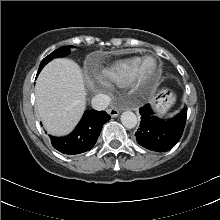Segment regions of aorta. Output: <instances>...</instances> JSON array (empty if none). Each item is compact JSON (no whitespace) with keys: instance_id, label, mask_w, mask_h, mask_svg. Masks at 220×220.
I'll return each instance as SVG.
<instances>
[{"instance_id":"762f6f07","label":"aorta","mask_w":220,"mask_h":220,"mask_svg":"<svg viewBox=\"0 0 220 220\" xmlns=\"http://www.w3.org/2000/svg\"><path fill=\"white\" fill-rule=\"evenodd\" d=\"M121 123L124 127L132 129L137 125V117L132 111H125L121 115Z\"/></svg>"}]
</instances>
